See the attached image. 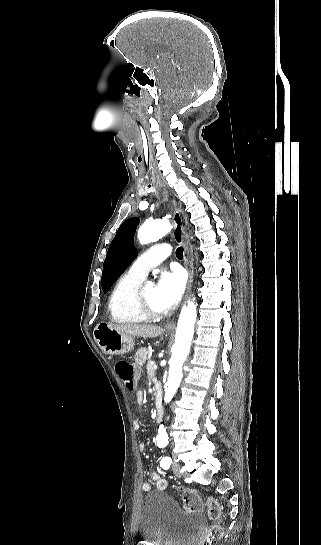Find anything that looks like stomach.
<instances>
[{"label": "stomach", "mask_w": 321, "mask_h": 545, "mask_svg": "<svg viewBox=\"0 0 321 545\" xmlns=\"http://www.w3.org/2000/svg\"><path fill=\"white\" fill-rule=\"evenodd\" d=\"M93 337L101 351L108 355H125L134 349V337L121 335L119 331L109 327L108 323H98L93 331Z\"/></svg>", "instance_id": "1"}]
</instances>
